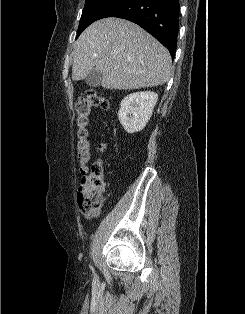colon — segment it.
<instances>
[{
	"mask_svg": "<svg viewBox=\"0 0 245 314\" xmlns=\"http://www.w3.org/2000/svg\"><path fill=\"white\" fill-rule=\"evenodd\" d=\"M93 107L108 109L106 98L97 91L90 89L75 105L76 117V161L82 174L81 184L77 193L78 207L85 219L95 218L102 205V194L105 187L104 166L101 160L91 163V143L89 140V121ZM105 149V144L100 145Z\"/></svg>",
	"mask_w": 245,
	"mask_h": 314,
	"instance_id": "5ec220e1",
	"label": "colon"
}]
</instances>
